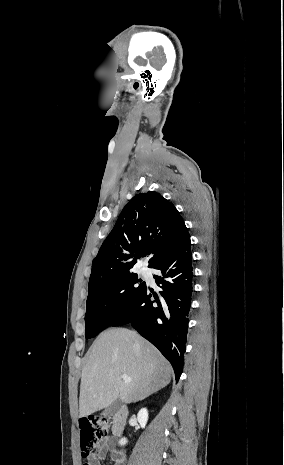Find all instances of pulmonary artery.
I'll return each instance as SVG.
<instances>
[{
  "mask_svg": "<svg viewBox=\"0 0 284 465\" xmlns=\"http://www.w3.org/2000/svg\"><path fill=\"white\" fill-rule=\"evenodd\" d=\"M140 272H141V273H144V272H145V270H144V269H140Z\"/></svg>",
  "mask_w": 284,
  "mask_h": 465,
  "instance_id": "pulmonary-artery-1",
  "label": "pulmonary artery"
}]
</instances>
